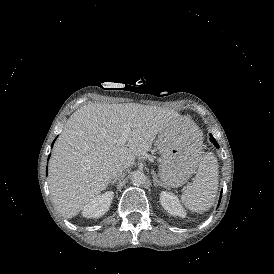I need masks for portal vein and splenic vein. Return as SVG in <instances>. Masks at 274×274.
Masks as SVG:
<instances>
[{
	"label": "portal vein and splenic vein",
	"instance_id": "18ae733b",
	"mask_svg": "<svg viewBox=\"0 0 274 274\" xmlns=\"http://www.w3.org/2000/svg\"><path fill=\"white\" fill-rule=\"evenodd\" d=\"M129 132H130V126H125L124 127V131L122 133V135L120 136V138L118 139L117 144L119 145H125L126 144V140L129 136Z\"/></svg>",
	"mask_w": 274,
	"mask_h": 274
}]
</instances>
